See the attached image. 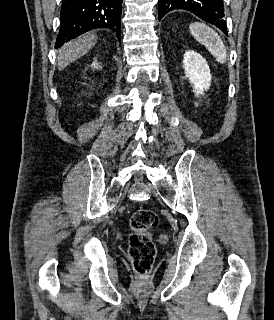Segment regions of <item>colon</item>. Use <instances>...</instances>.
<instances>
[{
    "label": "colon",
    "mask_w": 274,
    "mask_h": 320,
    "mask_svg": "<svg viewBox=\"0 0 274 320\" xmlns=\"http://www.w3.org/2000/svg\"><path fill=\"white\" fill-rule=\"evenodd\" d=\"M157 223L153 210L140 208L130 218L129 255L135 270L145 274L151 270L155 258V245L150 229Z\"/></svg>",
    "instance_id": "1"
}]
</instances>
